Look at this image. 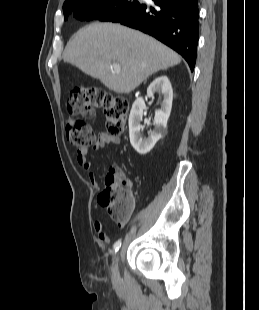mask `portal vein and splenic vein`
Instances as JSON below:
<instances>
[{"mask_svg": "<svg viewBox=\"0 0 259 310\" xmlns=\"http://www.w3.org/2000/svg\"><path fill=\"white\" fill-rule=\"evenodd\" d=\"M112 67L115 69V70H120L121 69V66L119 63H113L112 64Z\"/></svg>", "mask_w": 259, "mask_h": 310, "instance_id": "obj_1", "label": "portal vein and splenic vein"}]
</instances>
